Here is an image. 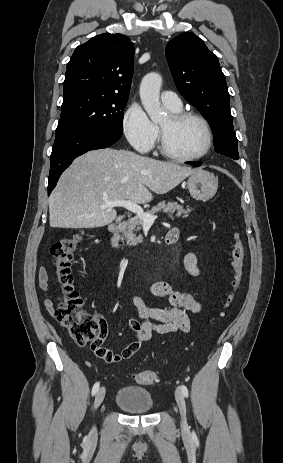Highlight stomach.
I'll return each mask as SVG.
<instances>
[{"mask_svg": "<svg viewBox=\"0 0 283 463\" xmlns=\"http://www.w3.org/2000/svg\"><path fill=\"white\" fill-rule=\"evenodd\" d=\"M187 187L190 195L201 201H207L214 197L218 189L217 177L208 171L200 169L189 176Z\"/></svg>", "mask_w": 283, "mask_h": 463, "instance_id": "obj_1", "label": "stomach"}]
</instances>
